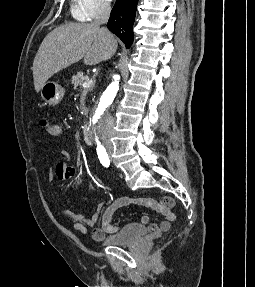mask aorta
<instances>
[{"label": "aorta", "instance_id": "1", "mask_svg": "<svg viewBox=\"0 0 255 287\" xmlns=\"http://www.w3.org/2000/svg\"><path fill=\"white\" fill-rule=\"evenodd\" d=\"M118 89H119V76L116 75L114 76V81L110 83V85L107 87V89L103 93L100 99L98 108L96 109L92 117V124H93L92 131L95 137H97L96 135H98L100 131V125H101L103 113L105 109L107 108V106L110 105L112 101L114 100L118 92Z\"/></svg>", "mask_w": 255, "mask_h": 287}]
</instances>
